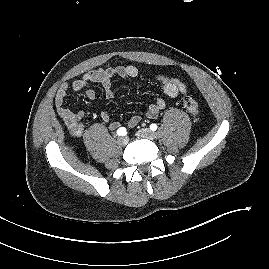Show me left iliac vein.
<instances>
[{
	"label": "left iliac vein",
	"instance_id": "obj_1",
	"mask_svg": "<svg viewBox=\"0 0 269 269\" xmlns=\"http://www.w3.org/2000/svg\"><path fill=\"white\" fill-rule=\"evenodd\" d=\"M137 136L141 138H147V139L153 140L156 137V133L151 131L148 128H143L137 132Z\"/></svg>",
	"mask_w": 269,
	"mask_h": 269
}]
</instances>
